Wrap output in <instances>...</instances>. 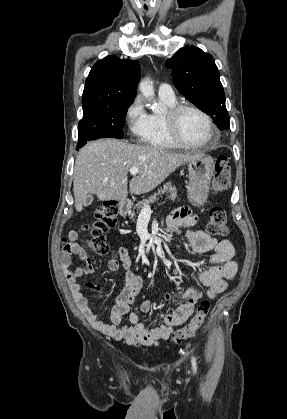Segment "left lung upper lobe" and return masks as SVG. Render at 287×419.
<instances>
[{
  "label": "left lung upper lobe",
  "mask_w": 287,
  "mask_h": 419,
  "mask_svg": "<svg viewBox=\"0 0 287 419\" xmlns=\"http://www.w3.org/2000/svg\"><path fill=\"white\" fill-rule=\"evenodd\" d=\"M178 91L210 115L220 130L228 129L230 118L225 93L213 57L195 46L180 49L166 61Z\"/></svg>",
  "instance_id": "obj_1"
}]
</instances>
